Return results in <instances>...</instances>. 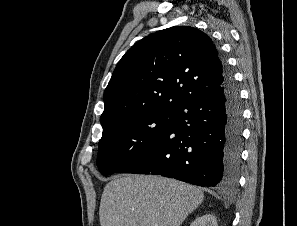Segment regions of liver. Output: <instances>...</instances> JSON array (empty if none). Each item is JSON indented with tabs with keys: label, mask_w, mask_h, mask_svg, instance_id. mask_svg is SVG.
<instances>
[{
	"label": "liver",
	"mask_w": 297,
	"mask_h": 226,
	"mask_svg": "<svg viewBox=\"0 0 297 226\" xmlns=\"http://www.w3.org/2000/svg\"><path fill=\"white\" fill-rule=\"evenodd\" d=\"M204 199L197 187L155 175H123L104 188L101 226H180Z\"/></svg>",
	"instance_id": "6515ba94"
}]
</instances>
